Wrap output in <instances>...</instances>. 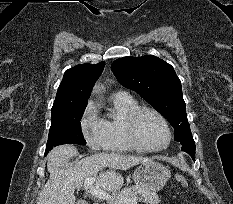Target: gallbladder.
I'll list each match as a JSON object with an SVG mask.
<instances>
[{
    "label": "gallbladder",
    "mask_w": 233,
    "mask_h": 204,
    "mask_svg": "<svg viewBox=\"0 0 233 204\" xmlns=\"http://www.w3.org/2000/svg\"><path fill=\"white\" fill-rule=\"evenodd\" d=\"M77 204H86V203H85V201L80 200V201H78V203H77Z\"/></svg>",
    "instance_id": "gallbladder-1"
}]
</instances>
